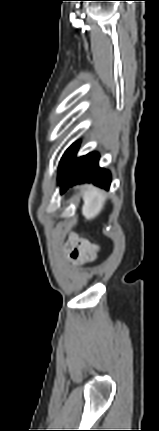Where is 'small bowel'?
<instances>
[{
	"label": "small bowel",
	"mask_w": 159,
	"mask_h": 431,
	"mask_svg": "<svg viewBox=\"0 0 159 431\" xmlns=\"http://www.w3.org/2000/svg\"><path fill=\"white\" fill-rule=\"evenodd\" d=\"M97 243H102V238H97ZM98 249L95 245L87 242L74 240V246L70 251V260L75 264H84L93 261L97 256Z\"/></svg>",
	"instance_id": "obj_1"
}]
</instances>
